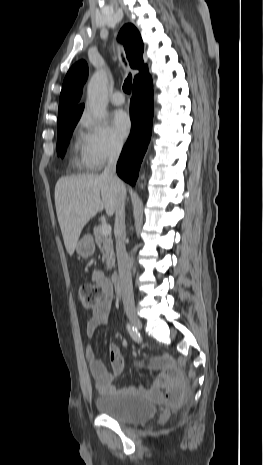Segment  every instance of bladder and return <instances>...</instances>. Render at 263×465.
Returning <instances> with one entry per match:
<instances>
[{
  "instance_id": "31cf9c89",
  "label": "bladder",
  "mask_w": 263,
  "mask_h": 465,
  "mask_svg": "<svg viewBox=\"0 0 263 465\" xmlns=\"http://www.w3.org/2000/svg\"><path fill=\"white\" fill-rule=\"evenodd\" d=\"M97 410L120 423L136 424L152 419L156 407L150 401L135 393H106L99 396Z\"/></svg>"
}]
</instances>
